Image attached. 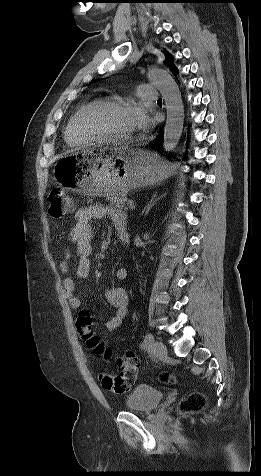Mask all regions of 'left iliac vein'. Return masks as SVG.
Segmentation results:
<instances>
[{
	"instance_id": "4c4485c4",
	"label": "left iliac vein",
	"mask_w": 261,
	"mask_h": 476,
	"mask_svg": "<svg viewBox=\"0 0 261 476\" xmlns=\"http://www.w3.org/2000/svg\"><path fill=\"white\" fill-rule=\"evenodd\" d=\"M153 354L156 357H163L167 354V348L165 344L161 341H156L152 346Z\"/></svg>"
}]
</instances>
